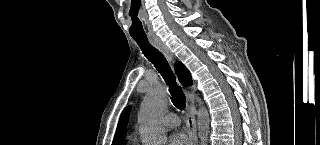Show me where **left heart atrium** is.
<instances>
[{
	"instance_id": "left-heart-atrium-1",
	"label": "left heart atrium",
	"mask_w": 320,
	"mask_h": 145,
	"mask_svg": "<svg viewBox=\"0 0 320 145\" xmlns=\"http://www.w3.org/2000/svg\"><path fill=\"white\" fill-rule=\"evenodd\" d=\"M169 145H189V139L184 133H175L170 137Z\"/></svg>"
}]
</instances>
